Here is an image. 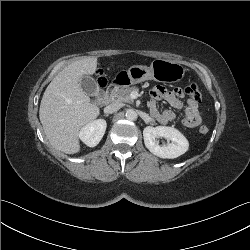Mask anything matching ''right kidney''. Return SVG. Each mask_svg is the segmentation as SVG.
I'll list each match as a JSON object with an SVG mask.
<instances>
[{
  "mask_svg": "<svg viewBox=\"0 0 250 250\" xmlns=\"http://www.w3.org/2000/svg\"><path fill=\"white\" fill-rule=\"evenodd\" d=\"M107 123L103 119L89 122L81 128L79 138L89 147H95L105 134Z\"/></svg>",
  "mask_w": 250,
  "mask_h": 250,
  "instance_id": "obj_1",
  "label": "right kidney"
}]
</instances>
